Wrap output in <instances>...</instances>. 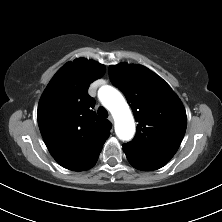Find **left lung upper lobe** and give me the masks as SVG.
I'll return each instance as SVG.
<instances>
[{
    "label": "left lung upper lobe",
    "instance_id": "5c2ea615",
    "mask_svg": "<svg viewBox=\"0 0 222 222\" xmlns=\"http://www.w3.org/2000/svg\"><path fill=\"white\" fill-rule=\"evenodd\" d=\"M109 77L126 96L138 122L135 138L123 144L128 161L144 171L163 167L178 150L186 131L181 100L162 78L140 65H112Z\"/></svg>",
    "mask_w": 222,
    "mask_h": 222
}]
</instances>
